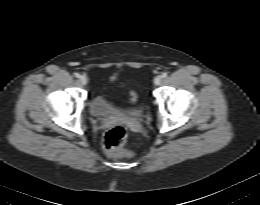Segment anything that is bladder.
<instances>
[{
    "label": "bladder",
    "mask_w": 260,
    "mask_h": 205,
    "mask_svg": "<svg viewBox=\"0 0 260 205\" xmlns=\"http://www.w3.org/2000/svg\"><path fill=\"white\" fill-rule=\"evenodd\" d=\"M116 79L111 78L106 83L102 84L95 92L90 102V113L97 118H107L118 115L121 110L115 106L106 96L105 90L109 84L115 83ZM140 109H135L132 114L137 115Z\"/></svg>",
    "instance_id": "31cf9c89"
}]
</instances>
